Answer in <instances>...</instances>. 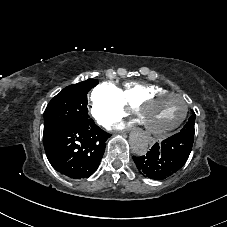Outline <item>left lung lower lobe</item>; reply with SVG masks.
Returning <instances> with one entry per match:
<instances>
[{
	"mask_svg": "<svg viewBox=\"0 0 227 227\" xmlns=\"http://www.w3.org/2000/svg\"><path fill=\"white\" fill-rule=\"evenodd\" d=\"M194 136L177 133L160 144L156 143L145 156L133 157L138 170L155 180L177 172L187 161Z\"/></svg>",
	"mask_w": 227,
	"mask_h": 227,
	"instance_id": "left-lung-lower-lobe-1",
	"label": "left lung lower lobe"
}]
</instances>
